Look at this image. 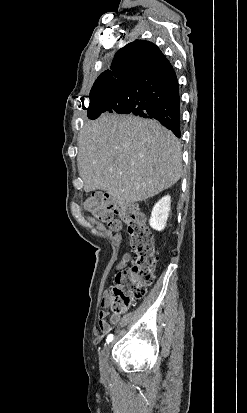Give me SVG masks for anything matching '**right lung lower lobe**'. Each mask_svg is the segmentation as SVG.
I'll return each instance as SVG.
<instances>
[{
    "instance_id": "right-lung-lower-lobe-1",
    "label": "right lung lower lobe",
    "mask_w": 247,
    "mask_h": 413,
    "mask_svg": "<svg viewBox=\"0 0 247 413\" xmlns=\"http://www.w3.org/2000/svg\"><path fill=\"white\" fill-rule=\"evenodd\" d=\"M133 94L111 96L88 109V118L97 119L105 112L134 114L155 119L180 138V95L171 64L156 72H135L126 81Z\"/></svg>"
}]
</instances>
